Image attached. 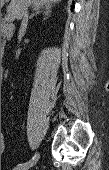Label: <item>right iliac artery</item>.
Listing matches in <instances>:
<instances>
[{"instance_id":"obj_1","label":"right iliac artery","mask_w":109,"mask_h":170,"mask_svg":"<svg viewBox=\"0 0 109 170\" xmlns=\"http://www.w3.org/2000/svg\"><path fill=\"white\" fill-rule=\"evenodd\" d=\"M37 160H38V154H35L30 161L26 163L18 164V166L24 165V166L32 167L34 164H36Z\"/></svg>"}]
</instances>
